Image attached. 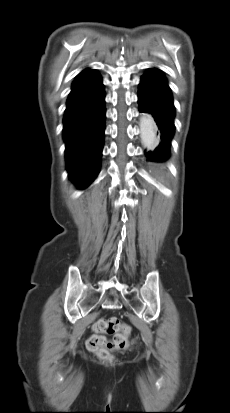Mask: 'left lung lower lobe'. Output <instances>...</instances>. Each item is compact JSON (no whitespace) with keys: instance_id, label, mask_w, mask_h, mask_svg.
<instances>
[{"instance_id":"1","label":"left lung lower lobe","mask_w":230,"mask_h":413,"mask_svg":"<svg viewBox=\"0 0 230 413\" xmlns=\"http://www.w3.org/2000/svg\"><path fill=\"white\" fill-rule=\"evenodd\" d=\"M140 112L152 114L161 133L159 145L146 151L148 161L163 162L170 156L171 139L174 135L175 107L167 79L157 68L147 69L141 77L138 90Z\"/></svg>"}]
</instances>
